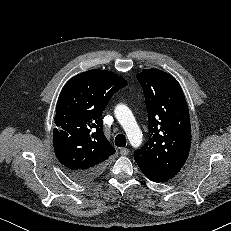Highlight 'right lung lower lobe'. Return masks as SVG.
Instances as JSON below:
<instances>
[{"mask_svg": "<svg viewBox=\"0 0 231 231\" xmlns=\"http://www.w3.org/2000/svg\"><path fill=\"white\" fill-rule=\"evenodd\" d=\"M103 168H97L88 171H81V172H69V175L77 181H89L98 176Z\"/></svg>", "mask_w": 231, "mask_h": 231, "instance_id": "98d812e1", "label": "right lung lower lobe"}]
</instances>
